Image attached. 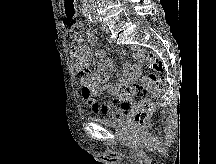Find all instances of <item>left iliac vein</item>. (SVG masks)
<instances>
[{
	"instance_id": "left-iliac-vein-1",
	"label": "left iliac vein",
	"mask_w": 216,
	"mask_h": 164,
	"mask_svg": "<svg viewBox=\"0 0 216 164\" xmlns=\"http://www.w3.org/2000/svg\"><path fill=\"white\" fill-rule=\"evenodd\" d=\"M101 29H102V31H103L104 33H106V34L109 32V28H108V26H107L106 23H103V24H102Z\"/></svg>"
}]
</instances>
